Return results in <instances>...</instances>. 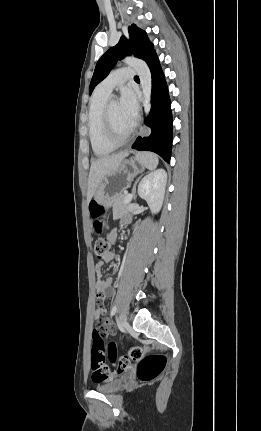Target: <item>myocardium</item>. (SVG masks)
Returning <instances> with one entry per match:
<instances>
[{
  "mask_svg": "<svg viewBox=\"0 0 261 431\" xmlns=\"http://www.w3.org/2000/svg\"><path fill=\"white\" fill-rule=\"evenodd\" d=\"M110 105L111 103H108L104 110H103V114H102V122H103V131H104V136L106 141L114 146V147H120L125 145L126 143L129 142V140L131 139L133 133H134V127H132L129 132L123 136L120 137L116 134L112 122H111V118H110Z\"/></svg>",
  "mask_w": 261,
  "mask_h": 431,
  "instance_id": "1",
  "label": "myocardium"
}]
</instances>
